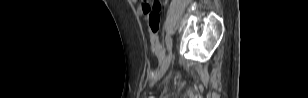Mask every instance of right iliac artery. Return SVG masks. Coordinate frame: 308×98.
<instances>
[{"label": "right iliac artery", "mask_w": 308, "mask_h": 98, "mask_svg": "<svg viewBox=\"0 0 308 98\" xmlns=\"http://www.w3.org/2000/svg\"><path fill=\"white\" fill-rule=\"evenodd\" d=\"M165 42H166L168 50H171V48H172V40H171L169 35L165 36Z\"/></svg>", "instance_id": "82829eb1"}]
</instances>
